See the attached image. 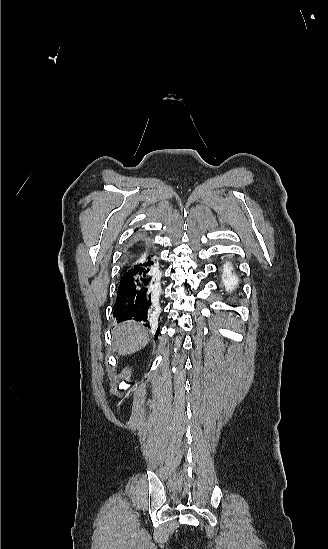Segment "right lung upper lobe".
<instances>
[{
    "instance_id": "cb5924a9",
    "label": "right lung upper lobe",
    "mask_w": 328,
    "mask_h": 549,
    "mask_svg": "<svg viewBox=\"0 0 328 549\" xmlns=\"http://www.w3.org/2000/svg\"><path fill=\"white\" fill-rule=\"evenodd\" d=\"M152 256L149 246L145 240L141 239L134 244V250L129 254V260L127 263L131 266L134 265L139 259ZM130 268V267H129Z\"/></svg>"
}]
</instances>
